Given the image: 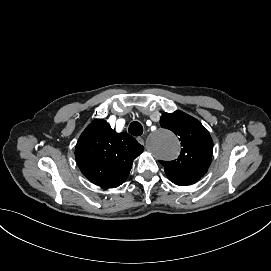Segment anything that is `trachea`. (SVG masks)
Masks as SVG:
<instances>
[{
  "label": "trachea",
  "instance_id": "1",
  "mask_svg": "<svg viewBox=\"0 0 271 271\" xmlns=\"http://www.w3.org/2000/svg\"><path fill=\"white\" fill-rule=\"evenodd\" d=\"M128 131L130 134L134 136H140L143 133V126L140 122L134 121L130 124Z\"/></svg>",
  "mask_w": 271,
  "mask_h": 271
}]
</instances>
